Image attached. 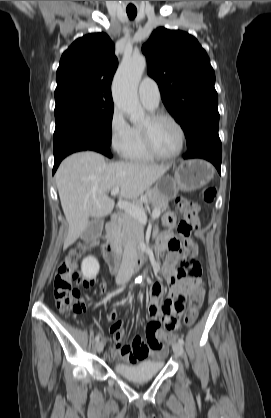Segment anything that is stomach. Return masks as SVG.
<instances>
[{
  "label": "stomach",
  "instance_id": "stomach-1",
  "mask_svg": "<svg viewBox=\"0 0 271 418\" xmlns=\"http://www.w3.org/2000/svg\"><path fill=\"white\" fill-rule=\"evenodd\" d=\"M214 175L212 165L201 159L186 160L180 163L175 171L174 178L161 177L155 188L166 200L173 199L179 190L194 191L207 185Z\"/></svg>",
  "mask_w": 271,
  "mask_h": 418
}]
</instances>
